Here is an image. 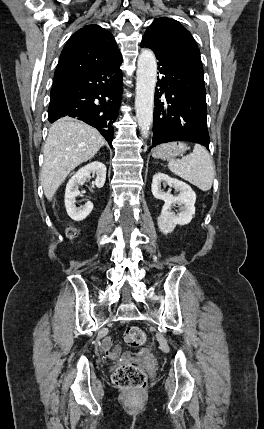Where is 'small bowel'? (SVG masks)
<instances>
[{
    "label": "small bowel",
    "instance_id": "obj_1",
    "mask_svg": "<svg viewBox=\"0 0 264 429\" xmlns=\"http://www.w3.org/2000/svg\"><path fill=\"white\" fill-rule=\"evenodd\" d=\"M102 348L111 359H118L121 357L122 360L129 361L134 357V355L131 353H125L120 356V349L118 347L112 349V338L110 336H107L103 339ZM142 354L143 352L140 353L139 356Z\"/></svg>",
    "mask_w": 264,
    "mask_h": 429
}]
</instances>
